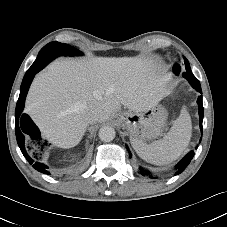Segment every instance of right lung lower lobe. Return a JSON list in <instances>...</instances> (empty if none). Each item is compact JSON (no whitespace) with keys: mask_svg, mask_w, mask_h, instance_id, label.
<instances>
[{"mask_svg":"<svg viewBox=\"0 0 227 227\" xmlns=\"http://www.w3.org/2000/svg\"><path fill=\"white\" fill-rule=\"evenodd\" d=\"M56 57L57 56L52 52H45L38 60L35 61L32 67H30L27 70L21 84L20 95H19V99L16 105V111H15V119H16L15 132H16V139L20 147V150L23 153L24 157L27 159V161L30 164H33V167L37 171L44 174H49V172L47 171L48 167L43 163L34 162V160H32L28 156L24 147L25 135L26 134L33 135V136H35L36 134L40 135L39 129L31 121L29 116L26 114H23L22 111L24 108L25 98H26L28 89L30 87V84L35 74L38 73L40 70H42L50 61H52Z\"/></svg>","mask_w":227,"mask_h":227,"instance_id":"1","label":"right lung lower lobe"}]
</instances>
